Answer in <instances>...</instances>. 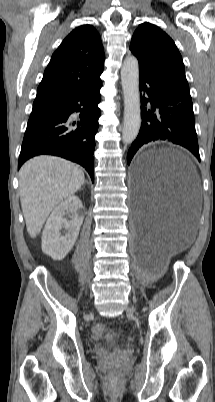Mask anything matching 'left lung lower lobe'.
Masks as SVG:
<instances>
[{"label":"left lung lower lobe","instance_id":"left-lung-lower-lobe-1","mask_svg":"<svg viewBox=\"0 0 215 402\" xmlns=\"http://www.w3.org/2000/svg\"><path fill=\"white\" fill-rule=\"evenodd\" d=\"M142 123L127 156L130 164L144 144L166 141L181 145L200 161L192 101L174 92L160 80L139 72Z\"/></svg>","mask_w":215,"mask_h":402}]
</instances>
